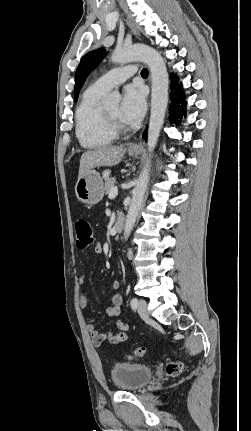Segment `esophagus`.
Instances as JSON below:
<instances>
[{
	"label": "esophagus",
	"instance_id": "34e87169",
	"mask_svg": "<svg viewBox=\"0 0 251 431\" xmlns=\"http://www.w3.org/2000/svg\"><path fill=\"white\" fill-rule=\"evenodd\" d=\"M127 24H128V26H129V28L131 29L132 33H133L135 36H138V35H139V32H138V30H137L136 26H135V25H134L130 20H127ZM129 149H130V150H136V149H138V145H137V143L131 144V145L129 146Z\"/></svg>",
	"mask_w": 251,
	"mask_h": 431
}]
</instances>
